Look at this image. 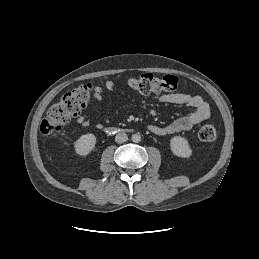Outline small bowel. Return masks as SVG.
Returning <instances> with one entry per match:
<instances>
[{
  "label": "small bowel",
  "instance_id": "obj_1",
  "mask_svg": "<svg viewBox=\"0 0 259 259\" xmlns=\"http://www.w3.org/2000/svg\"><path fill=\"white\" fill-rule=\"evenodd\" d=\"M105 89L108 92H113L114 82L112 80H107L105 82ZM95 98L98 102L103 100V90L100 87L95 88ZM158 100L169 104L189 106L193 109L190 114L179 117L164 126L149 125V131L158 136H167L182 131H188L195 125L207 120L210 117V107L208 103L198 95H191L187 93H168L160 95ZM76 121L82 127H88L90 125V119L85 115H79ZM102 127V123L97 124L98 129H101Z\"/></svg>",
  "mask_w": 259,
  "mask_h": 259
}]
</instances>
